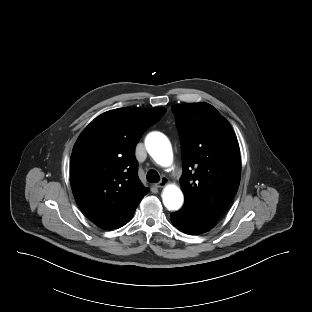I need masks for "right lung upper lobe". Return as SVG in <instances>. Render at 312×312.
<instances>
[{
    "label": "right lung upper lobe",
    "mask_w": 312,
    "mask_h": 312,
    "mask_svg": "<svg viewBox=\"0 0 312 312\" xmlns=\"http://www.w3.org/2000/svg\"><path fill=\"white\" fill-rule=\"evenodd\" d=\"M165 112V108L111 110L95 118L77 139L70 183L79 208L98 227H122L145 196L134 150L143 132Z\"/></svg>",
    "instance_id": "1"
}]
</instances>
